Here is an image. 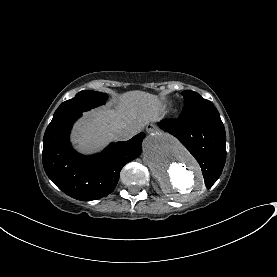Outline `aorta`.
I'll use <instances>...</instances> for the list:
<instances>
[{
    "mask_svg": "<svg viewBox=\"0 0 277 277\" xmlns=\"http://www.w3.org/2000/svg\"><path fill=\"white\" fill-rule=\"evenodd\" d=\"M143 156L170 199L190 201L203 192L204 180L197 162L172 136L163 132L148 136Z\"/></svg>",
    "mask_w": 277,
    "mask_h": 277,
    "instance_id": "aorta-1",
    "label": "aorta"
}]
</instances>
